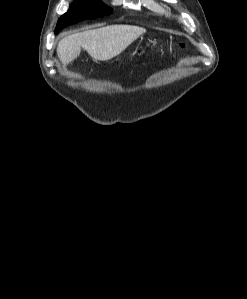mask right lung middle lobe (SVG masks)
<instances>
[{
    "mask_svg": "<svg viewBox=\"0 0 247 299\" xmlns=\"http://www.w3.org/2000/svg\"><path fill=\"white\" fill-rule=\"evenodd\" d=\"M111 12L112 9L99 0H75L69 10L58 20L55 34L59 33L64 27L81 20L102 17Z\"/></svg>",
    "mask_w": 247,
    "mask_h": 299,
    "instance_id": "dd1d6c3e",
    "label": "right lung middle lobe"
}]
</instances>
